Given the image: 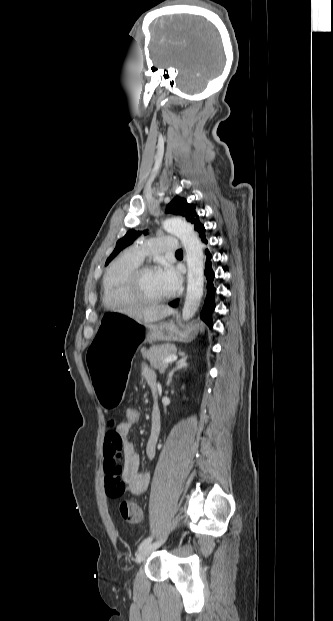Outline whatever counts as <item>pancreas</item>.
I'll return each instance as SVG.
<instances>
[{"instance_id": "cf45deb5", "label": "pancreas", "mask_w": 333, "mask_h": 621, "mask_svg": "<svg viewBox=\"0 0 333 621\" xmlns=\"http://www.w3.org/2000/svg\"><path fill=\"white\" fill-rule=\"evenodd\" d=\"M140 352L150 362L152 367L159 369L160 372H164L168 367V363H162V360L167 356L176 354V348L171 344L153 345L149 349L141 348Z\"/></svg>"}]
</instances>
